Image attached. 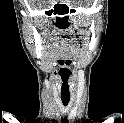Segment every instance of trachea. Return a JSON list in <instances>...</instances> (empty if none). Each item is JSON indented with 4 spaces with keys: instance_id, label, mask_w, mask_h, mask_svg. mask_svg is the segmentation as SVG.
Here are the masks:
<instances>
[{
    "instance_id": "trachea-1",
    "label": "trachea",
    "mask_w": 124,
    "mask_h": 123,
    "mask_svg": "<svg viewBox=\"0 0 124 123\" xmlns=\"http://www.w3.org/2000/svg\"><path fill=\"white\" fill-rule=\"evenodd\" d=\"M62 103L64 106H67L70 101V96L69 97H61Z\"/></svg>"
}]
</instances>
